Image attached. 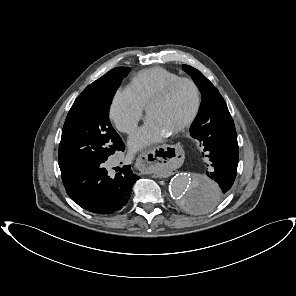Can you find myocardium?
<instances>
[{
  "label": "myocardium",
  "mask_w": 296,
  "mask_h": 296,
  "mask_svg": "<svg viewBox=\"0 0 296 296\" xmlns=\"http://www.w3.org/2000/svg\"><path fill=\"white\" fill-rule=\"evenodd\" d=\"M183 84L190 85L192 87V89L194 90L195 104H194V108H193L190 116L180 126H178L176 129H174L171 132L172 135L179 134V133L185 131L186 129H188L195 122V120L197 119V117L199 115L201 105H202V96H201L200 88L197 85V83L189 78H179V79L173 81L172 83H170L160 93H158L152 99H150V101L148 102V104L146 106V114H147V116H149L151 109L155 105L166 101L175 92V90Z\"/></svg>",
  "instance_id": "obj_1"
}]
</instances>
